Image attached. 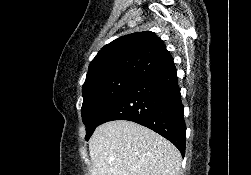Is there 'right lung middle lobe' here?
Instances as JSON below:
<instances>
[{"mask_svg":"<svg viewBox=\"0 0 251 175\" xmlns=\"http://www.w3.org/2000/svg\"><path fill=\"white\" fill-rule=\"evenodd\" d=\"M140 79L132 76H116L82 87L83 105L81 115L86 126L85 139L88 140L99 125L106 110L134 83Z\"/></svg>","mask_w":251,"mask_h":175,"instance_id":"1","label":"right lung middle lobe"}]
</instances>
